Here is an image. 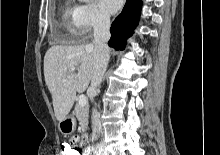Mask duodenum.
Instances as JSON below:
<instances>
[{
  "instance_id": "410a0bca",
  "label": "duodenum",
  "mask_w": 220,
  "mask_h": 155,
  "mask_svg": "<svg viewBox=\"0 0 220 155\" xmlns=\"http://www.w3.org/2000/svg\"><path fill=\"white\" fill-rule=\"evenodd\" d=\"M85 137H86V140H88V135H84ZM87 147V146H86ZM90 148L88 147V148H86V155H88V154H90Z\"/></svg>"
}]
</instances>
